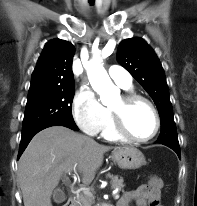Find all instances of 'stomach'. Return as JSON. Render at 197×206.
Here are the masks:
<instances>
[{
	"mask_svg": "<svg viewBox=\"0 0 197 206\" xmlns=\"http://www.w3.org/2000/svg\"><path fill=\"white\" fill-rule=\"evenodd\" d=\"M112 158L123 169H138L146 164L143 153L133 147L114 150Z\"/></svg>",
	"mask_w": 197,
	"mask_h": 206,
	"instance_id": "0dacf381",
	"label": "stomach"
}]
</instances>
